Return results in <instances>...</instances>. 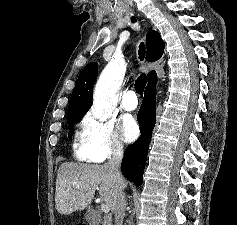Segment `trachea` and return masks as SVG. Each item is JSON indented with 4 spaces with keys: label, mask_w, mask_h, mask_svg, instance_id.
<instances>
[{
    "label": "trachea",
    "mask_w": 237,
    "mask_h": 225,
    "mask_svg": "<svg viewBox=\"0 0 237 225\" xmlns=\"http://www.w3.org/2000/svg\"><path fill=\"white\" fill-rule=\"evenodd\" d=\"M131 21L133 23L136 22V18L135 17H132L131 18ZM138 55H139V59L141 61L144 60V57H145V45L143 42L140 43L139 45V50H138ZM146 83H147V78H146V75L145 74H141L137 80L135 81V90L138 94L142 95L143 94V91H144V88L146 86Z\"/></svg>",
    "instance_id": "trachea-1"
}]
</instances>
